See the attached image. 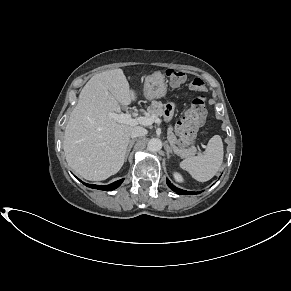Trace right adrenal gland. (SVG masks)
Masks as SVG:
<instances>
[{
  "mask_svg": "<svg viewBox=\"0 0 291 291\" xmlns=\"http://www.w3.org/2000/svg\"><path fill=\"white\" fill-rule=\"evenodd\" d=\"M135 141L136 140H134V139L129 141V145H128L127 152H126V156H125V162L127 161V157L129 155V153H130V151H131V149H132Z\"/></svg>",
  "mask_w": 291,
  "mask_h": 291,
  "instance_id": "2a0ac1e0",
  "label": "right adrenal gland"
}]
</instances>
